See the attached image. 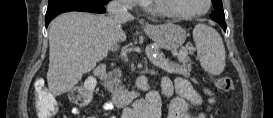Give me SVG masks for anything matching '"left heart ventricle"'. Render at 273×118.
Masks as SVG:
<instances>
[{"label":"left heart ventricle","mask_w":273,"mask_h":118,"mask_svg":"<svg viewBox=\"0 0 273 118\" xmlns=\"http://www.w3.org/2000/svg\"><path fill=\"white\" fill-rule=\"evenodd\" d=\"M170 9L182 13H192L205 8L204 0H168Z\"/></svg>","instance_id":"1"}]
</instances>
